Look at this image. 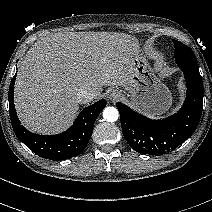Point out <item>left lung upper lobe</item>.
<instances>
[{"label": "left lung upper lobe", "instance_id": "5c2ea615", "mask_svg": "<svg viewBox=\"0 0 212 212\" xmlns=\"http://www.w3.org/2000/svg\"><path fill=\"white\" fill-rule=\"evenodd\" d=\"M173 42H174V46H175V52H174L175 59L196 60L194 53L188 46L184 45L183 43H181L177 40H173Z\"/></svg>", "mask_w": 212, "mask_h": 212}]
</instances>
